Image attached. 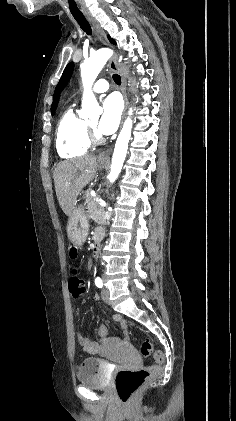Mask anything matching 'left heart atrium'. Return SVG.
Here are the masks:
<instances>
[{
    "instance_id": "left-heart-atrium-1",
    "label": "left heart atrium",
    "mask_w": 236,
    "mask_h": 421,
    "mask_svg": "<svg viewBox=\"0 0 236 421\" xmlns=\"http://www.w3.org/2000/svg\"><path fill=\"white\" fill-rule=\"evenodd\" d=\"M122 107L115 95L108 96L103 101V114L98 123V130L104 135L113 133L119 126Z\"/></svg>"
}]
</instances>
